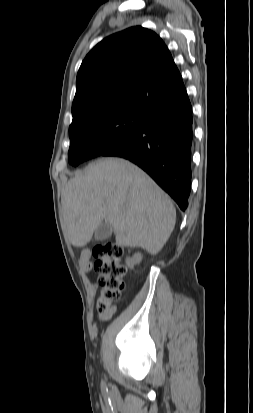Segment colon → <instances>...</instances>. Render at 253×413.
Wrapping results in <instances>:
<instances>
[{"mask_svg": "<svg viewBox=\"0 0 253 413\" xmlns=\"http://www.w3.org/2000/svg\"><path fill=\"white\" fill-rule=\"evenodd\" d=\"M122 254V248L112 242L97 245L93 249L96 258L95 270L101 287L97 302L101 314L107 312L112 303L120 300L125 288L126 267L121 263Z\"/></svg>", "mask_w": 253, "mask_h": 413, "instance_id": "colon-1", "label": "colon"}]
</instances>
